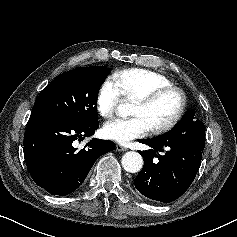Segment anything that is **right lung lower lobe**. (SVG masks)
Instances as JSON below:
<instances>
[{
    "label": "right lung lower lobe",
    "mask_w": 237,
    "mask_h": 237,
    "mask_svg": "<svg viewBox=\"0 0 237 237\" xmlns=\"http://www.w3.org/2000/svg\"><path fill=\"white\" fill-rule=\"evenodd\" d=\"M98 127L99 122L80 124L45 112H32L24 135V157L34 182L60 196L77 189L95 161L115 148L113 142L96 138L83 149L75 148V140L93 135Z\"/></svg>",
    "instance_id": "98d812e1"
}]
</instances>
